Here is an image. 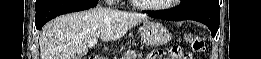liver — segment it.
<instances>
[{
	"mask_svg": "<svg viewBox=\"0 0 261 59\" xmlns=\"http://www.w3.org/2000/svg\"><path fill=\"white\" fill-rule=\"evenodd\" d=\"M146 17L137 13L96 7L66 14L48 22L41 30V59H79L88 52L91 39L104 42L121 39Z\"/></svg>",
	"mask_w": 261,
	"mask_h": 59,
	"instance_id": "obj_1",
	"label": "liver"
}]
</instances>
